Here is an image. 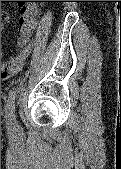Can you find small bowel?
<instances>
[{
    "instance_id": "obj_1",
    "label": "small bowel",
    "mask_w": 121,
    "mask_h": 169,
    "mask_svg": "<svg viewBox=\"0 0 121 169\" xmlns=\"http://www.w3.org/2000/svg\"><path fill=\"white\" fill-rule=\"evenodd\" d=\"M37 8L34 5L28 4L23 7L22 13L19 17V43L14 56L9 58L8 61L1 64V77L8 78L11 75L20 71L23 63L27 59L33 43V30L36 27L35 16ZM10 15L6 12L2 13V23H8L10 21Z\"/></svg>"
}]
</instances>
